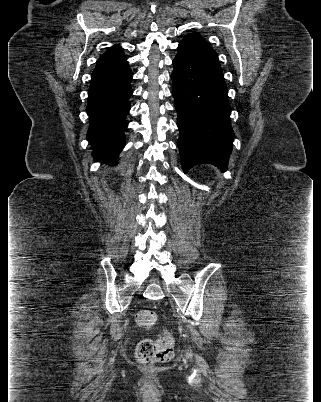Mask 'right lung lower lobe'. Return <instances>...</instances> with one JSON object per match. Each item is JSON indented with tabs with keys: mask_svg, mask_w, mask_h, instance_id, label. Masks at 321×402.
I'll use <instances>...</instances> for the list:
<instances>
[{
	"mask_svg": "<svg viewBox=\"0 0 321 402\" xmlns=\"http://www.w3.org/2000/svg\"><path fill=\"white\" fill-rule=\"evenodd\" d=\"M131 80L128 64L96 66L91 75L86 109L90 120L87 140L95 161L113 165L125 146V115L130 110L129 98L133 93Z\"/></svg>",
	"mask_w": 321,
	"mask_h": 402,
	"instance_id": "1",
	"label": "right lung lower lobe"
}]
</instances>
